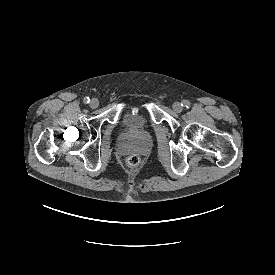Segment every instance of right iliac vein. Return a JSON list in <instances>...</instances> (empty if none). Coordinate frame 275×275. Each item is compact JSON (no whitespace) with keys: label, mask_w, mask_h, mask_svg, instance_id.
I'll list each match as a JSON object with an SVG mask.
<instances>
[{"label":"right iliac vein","mask_w":275,"mask_h":275,"mask_svg":"<svg viewBox=\"0 0 275 275\" xmlns=\"http://www.w3.org/2000/svg\"><path fill=\"white\" fill-rule=\"evenodd\" d=\"M98 105H99V101H98L97 99L93 98V99L91 100V102H90V107H91L92 109H95V108L98 107Z\"/></svg>","instance_id":"obj_1"}]
</instances>
